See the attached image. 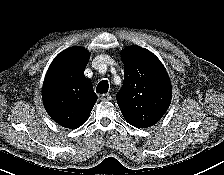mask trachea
I'll return each mask as SVG.
<instances>
[{"instance_id": "1", "label": "trachea", "mask_w": 224, "mask_h": 175, "mask_svg": "<svg viewBox=\"0 0 224 175\" xmlns=\"http://www.w3.org/2000/svg\"><path fill=\"white\" fill-rule=\"evenodd\" d=\"M108 89H109V84H108V81L107 80H102L97 88H96V92L97 93H100V94H103V93H107L108 92Z\"/></svg>"}]
</instances>
